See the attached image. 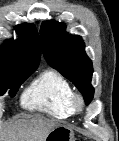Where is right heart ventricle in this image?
Returning <instances> with one entry per match:
<instances>
[{"mask_svg": "<svg viewBox=\"0 0 119 141\" xmlns=\"http://www.w3.org/2000/svg\"><path fill=\"white\" fill-rule=\"evenodd\" d=\"M73 89L69 81L60 72L47 69L43 71L24 93L23 105L57 119H67L73 112L70 98Z\"/></svg>", "mask_w": 119, "mask_h": 141, "instance_id": "right-heart-ventricle-1", "label": "right heart ventricle"}]
</instances>
